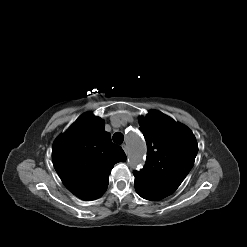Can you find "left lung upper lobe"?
Segmentation results:
<instances>
[{
  "instance_id": "obj_1",
  "label": "left lung upper lobe",
  "mask_w": 247,
  "mask_h": 247,
  "mask_svg": "<svg viewBox=\"0 0 247 247\" xmlns=\"http://www.w3.org/2000/svg\"><path fill=\"white\" fill-rule=\"evenodd\" d=\"M139 125L147 143V158L144 168L133 172L135 181L165 198L193 167L198 152L196 138L188 127L156 110L140 117Z\"/></svg>"
}]
</instances>
